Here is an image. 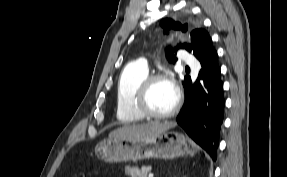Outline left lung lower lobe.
Listing matches in <instances>:
<instances>
[{
	"label": "left lung lower lobe",
	"mask_w": 287,
	"mask_h": 177,
	"mask_svg": "<svg viewBox=\"0 0 287 177\" xmlns=\"http://www.w3.org/2000/svg\"><path fill=\"white\" fill-rule=\"evenodd\" d=\"M197 59L201 69L195 82L190 77L184 78L185 102L177 123L215 160L225 101L218 55L213 44H209L206 53Z\"/></svg>",
	"instance_id": "1"
}]
</instances>
